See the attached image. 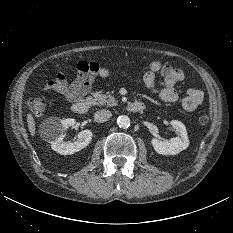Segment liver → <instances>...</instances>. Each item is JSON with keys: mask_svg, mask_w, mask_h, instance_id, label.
I'll use <instances>...</instances> for the list:
<instances>
[{"mask_svg": "<svg viewBox=\"0 0 233 233\" xmlns=\"http://www.w3.org/2000/svg\"><path fill=\"white\" fill-rule=\"evenodd\" d=\"M27 124H28V129L31 134V136L34 137L35 135V121L33 116L29 113L27 114Z\"/></svg>", "mask_w": 233, "mask_h": 233, "instance_id": "obj_1", "label": "liver"}]
</instances>
